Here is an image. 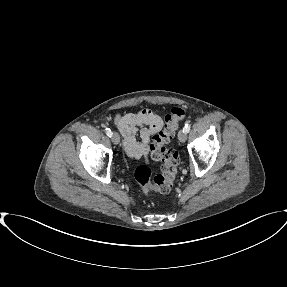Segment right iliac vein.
I'll return each mask as SVG.
<instances>
[{
    "instance_id": "right-iliac-vein-1",
    "label": "right iliac vein",
    "mask_w": 287,
    "mask_h": 287,
    "mask_svg": "<svg viewBox=\"0 0 287 287\" xmlns=\"http://www.w3.org/2000/svg\"><path fill=\"white\" fill-rule=\"evenodd\" d=\"M111 139L114 144H119L120 142V136L116 132L112 133Z\"/></svg>"
}]
</instances>
